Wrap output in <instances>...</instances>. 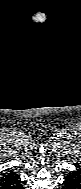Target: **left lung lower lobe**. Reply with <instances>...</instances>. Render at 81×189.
<instances>
[{"label":"left lung lower lobe","mask_w":81,"mask_h":189,"mask_svg":"<svg viewBox=\"0 0 81 189\" xmlns=\"http://www.w3.org/2000/svg\"><path fill=\"white\" fill-rule=\"evenodd\" d=\"M61 189H81V171H70L65 176Z\"/></svg>","instance_id":"obj_1"}]
</instances>
